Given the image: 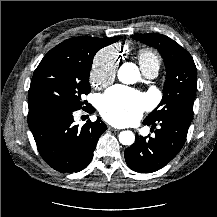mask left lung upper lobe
Returning <instances> with one entry per match:
<instances>
[{
    "label": "left lung upper lobe",
    "instance_id": "5c2ea615",
    "mask_svg": "<svg viewBox=\"0 0 217 217\" xmlns=\"http://www.w3.org/2000/svg\"><path fill=\"white\" fill-rule=\"evenodd\" d=\"M132 38L155 47L166 66L163 98L146 119L155 122L166 117H178L191 122L197 90V69L191 55L162 34L133 35Z\"/></svg>",
    "mask_w": 217,
    "mask_h": 217
}]
</instances>
